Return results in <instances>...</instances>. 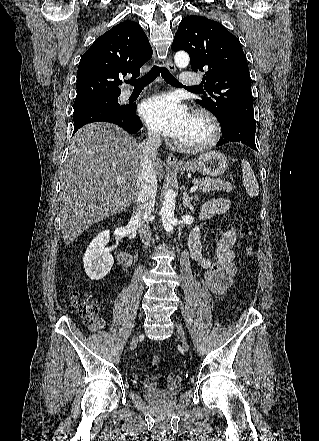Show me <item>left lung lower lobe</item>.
Returning a JSON list of instances; mask_svg holds the SVG:
<instances>
[{
	"mask_svg": "<svg viewBox=\"0 0 319 441\" xmlns=\"http://www.w3.org/2000/svg\"><path fill=\"white\" fill-rule=\"evenodd\" d=\"M256 126L242 122L232 121L224 129H222V137L217 143V146L229 142H241L254 150H257L255 144Z\"/></svg>",
	"mask_w": 319,
	"mask_h": 441,
	"instance_id": "0a47b994",
	"label": "left lung lower lobe"
}]
</instances>
